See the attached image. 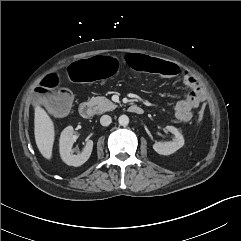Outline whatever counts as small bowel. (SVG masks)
<instances>
[{"mask_svg": "<svg viewBox=\"0 0 241 241\" xmlns=\"http://www.w3.org/2000/svg\"><path fill=\"white\" fill-rule=\"evenodd\" d=\"M182 77L184 83L190 87L192 91L184 99H181L176 103L175 116L178 121L188 123L192 118V110L204 102L206 92L192 74L183 72Z\"/></svg>", "mask_w": 241, "mask_h": 241, "instance_id": "small-bowel-1", "label": "small bowel"}]
</instances>
